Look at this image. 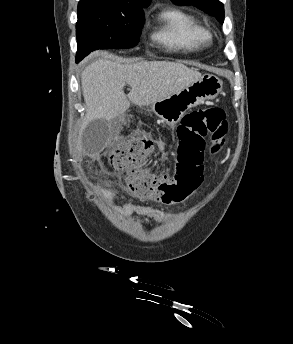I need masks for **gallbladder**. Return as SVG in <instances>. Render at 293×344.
<instances>
[{
  "label": "gallbladder",
  "mask_w": 293,
  "mask_h": 344,
  "mask_svg": "<svg viewBox=\"0 0 293 344\" xmlns=\"http://www.w3.org/2000/svg\"><path fill=\"white\" fill-rule=\"evenodd\" d=\"M110 137L109 124L104 119L90 121L82 134V146L86 153L100 152Z\"/></svg>",
  "instance_id": "1"
}]
</instances>
